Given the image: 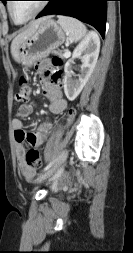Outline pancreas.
Masks as SVG:
<instances>
[{"mask_svg":"<svg viewBox=\"0 0 133 253\" xmlns=\"http://www.w3.org/2000/svg\"><path fill=\"white\" fill-rule=\"evenodd\" d=\"M55 55H58L59 57L63 58L64 57V54L60 53V52H56L54 51L53 52Z\"/></svg>","mask_w":133,"mask_h":253,"instance_id":"cf45deb5","label":"pancreas"}]
</instances>
